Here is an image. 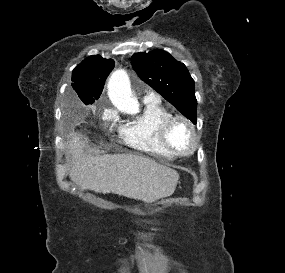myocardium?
<instances>
[{
    "label": "myocardium",
    "mask_w": 285,
    "mask_h": 273,
    "mask_svg": "<svg viewBox=\"0 0 285 273\" xmlns=\"http://www.w3.org/2000/svg\"><path fill=\"white\" fill-rule=\"evenodd\" d=\"M177 123H182L183 125L186 126L188 129V132L191 136V145L189 146L188 149H179L176 146L173 145V143L170 140V132L173 128V126ZM160 135L162 142L164 145L172 151L175 155H180V156H189L192 155L198 148V143H199V138L197 131L195 129L194 124L185 116L182 115H171L168 117L162 124L161 130H160Z\"/></svg>",
    "instance_id": "obj_1"
}]
</instances>
